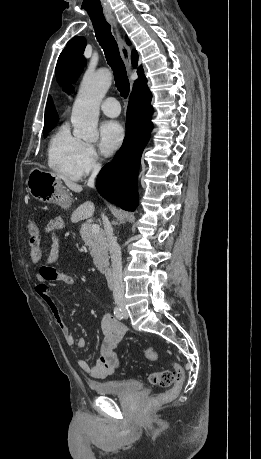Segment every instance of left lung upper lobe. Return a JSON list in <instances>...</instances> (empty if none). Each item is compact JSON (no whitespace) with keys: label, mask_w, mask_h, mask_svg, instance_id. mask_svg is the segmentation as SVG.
Returning <instances> with one entry per match:
<instances>
[{"label":"left lung upper lobe","mask_w":261,"mask_h":459,"mask_svg":"<svg viewBox=\"0 0 261 459\" xmlns=\"http://www.w3.org/2000/svg\"><path fill=\"white\" fill-rule=\"evenodd\" d=\"M81 42L80 37H74L67 43V46L59 56L55 74L57 82L63 87L64 91L72 90L71 83L77 80L85 66L84 47Z\"/></svg>","instance_id":"left-lung-upper-lobe-1"}]
</instances>
